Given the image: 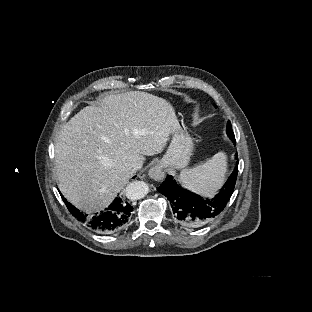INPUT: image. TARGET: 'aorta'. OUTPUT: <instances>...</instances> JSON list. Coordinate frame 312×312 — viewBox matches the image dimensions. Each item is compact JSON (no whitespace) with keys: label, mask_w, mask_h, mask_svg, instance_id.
Returning <instances> with one entry per match:
<instances>
[{"label":"aorta","mask_w":312,"mask_h":312,"mask_svg":"<svg viewBox=\"0 0 312 312\" xmlns=\"http://www.w3.org/2000/svg\"><path fill=\"white\" fill-rule=\"evenodd\" d=\"M149 192L148 185L143 181H132L126 186V197L130 201L140 200Z\"/></svg>","instance_id":"1"}]
</instances>
